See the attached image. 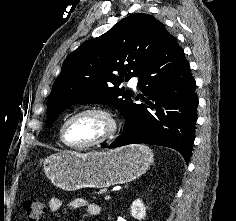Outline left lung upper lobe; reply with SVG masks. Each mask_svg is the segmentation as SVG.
Instances as JSON below:
<instances>
[{
	"mask_svg": "<svg viewBox=\"0 0 236 221\" xmlns=\"http://www.w3.org/2000/svg\"><path fill=\"white\" fill-rule=\"evenodd\" d=\"M167 30L149 14L130 15L105 34L85 41L63 62L47 105V126L67 107L98 103L113 105L122 114L131 92L118 86L142 69L160 47Z\"/></svg>",
	"mask_w": 236,
	"mask_h": 221,
	"instance_id": "obj_1",
	"label": "left lung upper lobe"
}]
</instances>
